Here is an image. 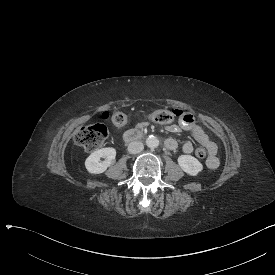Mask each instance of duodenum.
Listing matches in <instances>:
<instances>
[{"label":"duodenum","mask_w":275,"mask_h":275,"mask_svg":"<svg viewBox=\"0 0 275 275\" xmlns=\"http://www.w3.org/2000/svg\"><path fill=\"white\" fill-rule=\"evenodd\" d=\"M144 135V131L141 129L129 130L124 133L123 140L126 143H130L140 139Z\"/></svg>","instance_id":"1"}]
</instances>
